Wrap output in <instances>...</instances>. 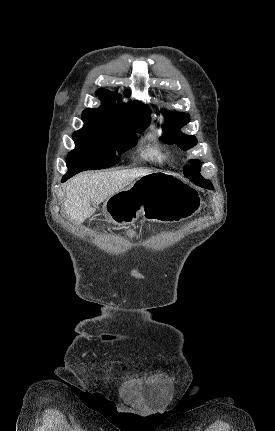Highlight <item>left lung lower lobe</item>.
Instances as JSON below:
<instances>
[{
  "label": "left lung lower lobe",
  "mask_w": 275,
  "mask_h": 431,
  "mask_svg": "<svg viewBox=\"0 0 275 431\" xmlns=\"http://www.w3.org/2000/svg\"><path fill=\"white\" fill-rule=\"evenodd\" d=\"M186 177H188L193 183H195L200 187L211 189V190L214 189V187L212 186V183L201 176H186Z\"/></svg>",
  "instance_id": "obj_1"
}]
</instances>
